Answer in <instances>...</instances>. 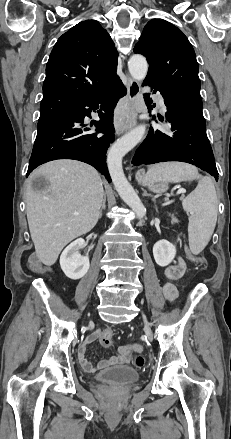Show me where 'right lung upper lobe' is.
<instances>
[{"instance_id": "obj_1", "label": "right lung upper lobe", "mask_w": 231, "mask_h": 439, "mask_svg": "<svg viewBox=\"0 0 231 439\" xmlns=\"http://www.w3.org/2000/svg\"><path fill=\"white\" fill-rule=\"evenodd\" d=\"M118 53L95 20H85L54 45L46 66L40 118L55 116L100 94L118 79Z\"/></svg>"}]
</instances>
